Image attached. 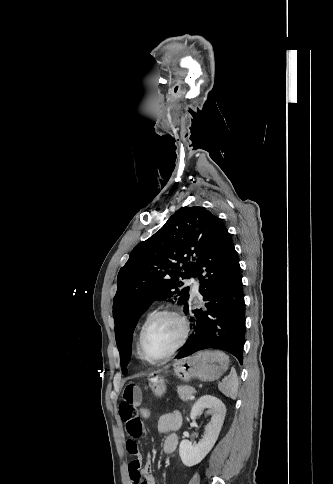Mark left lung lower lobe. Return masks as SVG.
<instances>
[{"label":"left lung lower lobe","mask_w":333,"mask_h":484,"mask_svg":"<svg viewBox=\"0 0 333 484\" xmlns=\"http://www.w3.org/2000/svg\"><path fill=\"white\" fill-rule=\"evenodd\" d=\"M197 275L205 308L193 310L185 305L194 331L175 358L216 348L233 354L242 364L245 303L241 270L231 236L217 217L195 260L192 276Z\"/></svg>","instance_id":"0a47b994"}]
</instances>
